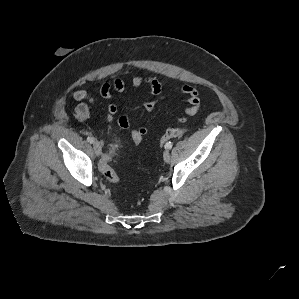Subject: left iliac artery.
I'll use <instances>...</instances> for the list:
<instances>
[{"label":"left iliac artery","mask_w":299,"mask_h":299,"mask_svg":"<svg viewBox=\"0 0 299 299\" xmlns=\"http://www.w3.org/2000/svg\"><path fill=\"white\" fill-rule=\"evenodd\" d=\"M165 148L166 149H171L172 148V143L171 142L166 143Z\"/></svg>","instance_id":"1"}]
</instances>
